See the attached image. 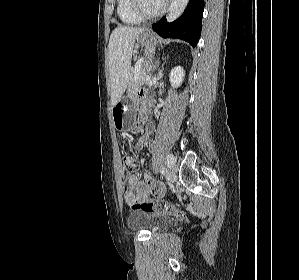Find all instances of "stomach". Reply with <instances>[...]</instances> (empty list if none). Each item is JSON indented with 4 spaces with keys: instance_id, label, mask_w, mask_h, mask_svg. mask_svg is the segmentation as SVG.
<instances>
[{
    "instance_id": "1",
    "label": "stomach",
    "mask_w": 299,
    "mask_h": 280,
    "mask_svg": "<svg viewBox=\"0 0 299 280\" xmlns=\"http://www.w3.org/2000/svg\"><path fill=\"white\" fill-rule=\"evenodd\" d=\"M137 42L142 47L150 48L154 47L158 43V40L153 33L145 31L139 35ZM132 112L133 100L128 96L121 98L112 109L115 127L119 130L130 128L133 124Z\"/></svg>"
}]
</instances>
